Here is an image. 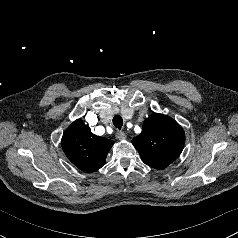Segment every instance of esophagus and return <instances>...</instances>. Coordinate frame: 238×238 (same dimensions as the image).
<instances>
[{
    "label": "esophagus",
    "mask_w": 238,
    "mask_h": 238,
    "mask_svg": "<svg viewBox=\"0 0 238 238\" xmlns=\"http://www.w3.org/2000/svg\"><path fill=\"white\" fill-rule=\"evenodd\" d=\"M117 140H125L126 139V135L124 132L122 131H118L115 135Z\"/></svg>",
    "instance_id": "obj_1"
}]
</instances>
